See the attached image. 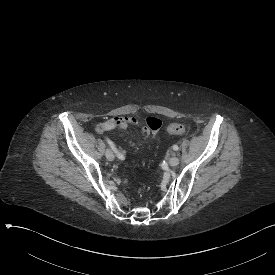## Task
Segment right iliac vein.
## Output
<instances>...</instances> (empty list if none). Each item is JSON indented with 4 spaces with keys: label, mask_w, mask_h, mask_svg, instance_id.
Here are the masks:
<instances>
[{
    "label": "right iliac vein",
    "mask_w": 275,
    "mask_h": 275,
    "mask_svg": "<svg viewBox=\"0 0 275 275\" xmlns=\"http://www.w3.org/2000/svg\"><path fill=\"white\" fill-rule=\"evenodd\" d=\"M106 157L109 161H113L115 158L113 152L109 149L106 150Z\"/></svg>",
    "instance_id": "obj_1"
}]
</instances>
